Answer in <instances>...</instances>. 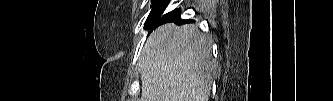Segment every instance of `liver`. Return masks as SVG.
Wrapping results in <instances>:
<instances>
[{
    "mask_svg": "<svg viewBox=\"0 0 333 101\" xmlns=\"http://www.w3.org/2000/svg\"><path fill=\"white\" fill-rule=\"evenodd\" d=\"M216 67L206 34L191 25H163L142 52L140 101H208Z\"/></svg>",
    "mask_w": 333,
    "mask_h": 101,
    "instance_id": "6515ba94",
    "label": "liver"
}]
</instances>
